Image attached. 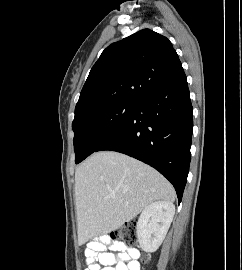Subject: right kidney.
Listing matches in <instances>:
<instances>
[{
	"mask_svg": "<svg viewBox=\"0 0 242 270\" xmlns=\"http://www.w3.org/2000/svg\"><path fill=\"white\" fill-rule=\"evenodd\" d=\"M175 214L168 201H155L145 207L137 222V238L146 252H155L163 242Z\"/></svg>",
	"mask_w": 242,
	"mask_h": 270,
	"instance_id": "ca27d5eb",
	"label": "right kidney"
}]
</instances>
